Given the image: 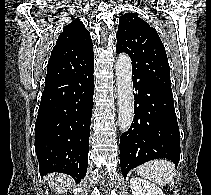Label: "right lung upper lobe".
Returning <instances> with one entry per match:
<instances>
[{"mask_svg":"<svg viewBox=\"0 0 211 195\" xmlns=\"http://www.w3.org/2000/svg\"><path fill=\"white\" fill-rule=\"evenodd\" d=\"M94 64L90 33L80 20L65 26L52 50L46 82L74 75Z\"/></svg>","mask_w":211,"mask_h":195,"instance_id":"cb5924a9","label":"right lung upper lobe"}]
</instances>
